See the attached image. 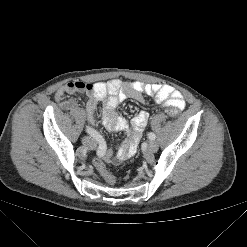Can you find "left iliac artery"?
<instances>
[{
  "label": "left iliac artery",
  "mask_w": 247,
  "mask_h": 247,
  "mask_svg": "<svg viewBox=\"0 0 247 247\" xmlns=\"http://www.w3.org/2000/svg\"><path fill=\"white\" fill-rule=\"evenodd\" d=\"M147 135H148V138L150 140H155V138H156V135L154 133H152V132H149Z\"/></svg>",
  "instance_id": "obj_1"
}]
</instances>
